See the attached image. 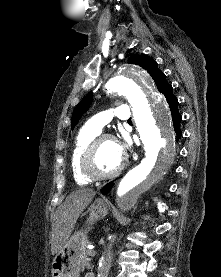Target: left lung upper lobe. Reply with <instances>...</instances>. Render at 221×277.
I'll return each mask as SVG.
<instances>
[{
  "mask_svg": "<svg viewBox=\"0 0 221 277\" xmlns=\"http://www.w3.org/2000/svg\"><path fill=\"white\" fill-rule=\"evenodd\" d=\"M128 63L139 65L145 70H147V72L151 75V77L155 81V84L158 90L160 91V93L163 94L164 91L168 88V86H170L166 81L165 74L158 69L156 61L149 58L148 56L134 54L129 58ZM92 99H93V94L92 92H89L83 98V100L76 106L72 114V120H71L72 129L75 127L80 117L89 109V106L92 103Z\"/></svg>",
  "mask_w": 221,
  "mask_h": 277,
  "instance_id": "5c2ea615",
  "label": "left lung upper lobe"
}]
</instances>
